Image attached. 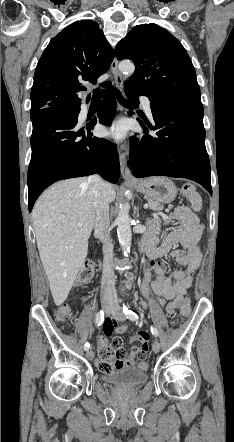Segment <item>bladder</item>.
<instances>
[{
  "instance_id": "1",
  "label": "bladder",
  "mask_w": 234,
  "mask_h": 442,
  "mask_svg": "<svg viewBox=\"0 0 234 442\" xmlns=\"http://www.w3.org/2000/svg\"><path fill=\"white\" fill-rule=\"evenodd\" d=\"M146 368L136 366H125L106 373L104 380L118 387L132 388L147 381Z\"/></svg>"
}]
</instances>
